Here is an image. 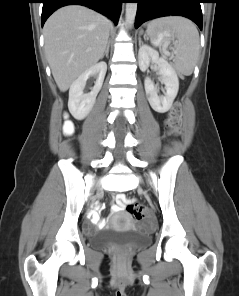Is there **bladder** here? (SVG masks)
Returning a JSON list of instances; mask_svg holds the SVG:
<instances>
[{
    "instance_id": "bladder-1",
    "label": "bladder",
    "mask_w": 239,
    "mask_h": 296,
    "mask_svg": "<svg viewBox=\"0 0 239 296\" xmlns=\"http://www.w3.org/2000/svg\"><path fill=\"white\" fill-rule=\"evenodd\" d=\"M150 236L139 232L134 228L127 230L104 229L90 235L93 246L98 248L112 247L116 245L141 246L149 242Z\"/></svg>"
}]
</instances>
